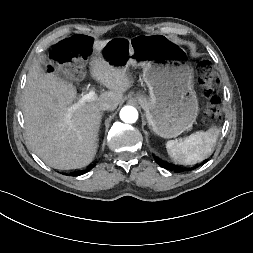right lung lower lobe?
Listing matches in <instances>:
<instances>
[{
    "instance_id": "obj_1",
    "label": "right lung lower lobe",
    "mask_w": 253,
    "mask_h": 253,
    "mask_svg": "<svg viewBox=\"0 0 253 253\" xmlns=\"http://www.w3.org/2000/svg\"><path fill=\"white\" fill-rule=\"evenodd\" d=\"M83 174V172H81V173H79V174H74V176H78V175H82Z\"/></svg>"
}]
</instances>
